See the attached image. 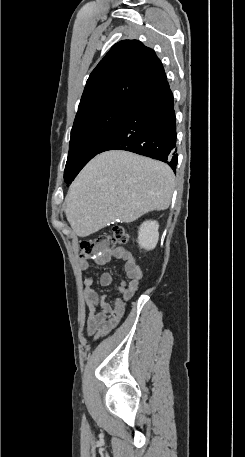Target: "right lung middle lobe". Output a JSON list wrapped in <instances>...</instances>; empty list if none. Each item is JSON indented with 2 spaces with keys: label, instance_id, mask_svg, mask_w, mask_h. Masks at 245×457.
I'll list each match as a JSON object with an SVG mask.
<instances>
[{
  "label": "right lung middle lobe",
  "instance_id": "1",
  "mask_svg": "<svg viewBox=\"0 0 245 457\" xmlns=\"http://www.w3.org/2000/svg\"><path fill=\"white\" fill-rule=\"evenodd\" d=\"M129 108L130 106L115 103L96 111L76 115L64 171V180L68 185L87 162L100 153Z\"/></svg>",
  "mask_w": 245,
  "mask_h": 457
}]
</instances>
